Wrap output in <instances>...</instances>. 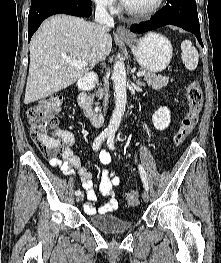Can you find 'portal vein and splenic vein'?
<instances>
[{
  "instance_id": "obj_1",
  "label": "portal vein and splenic vein",
  "mask_w": 221,
  "mask_h": 263,
  "mask_svg": "<svg viewBox=\"0 0 221 263\" xmlns=\"http://www.w3.org/2000/svg\"><path fill=\"white\" fill-rule=\"evenodd\" d=\"M66 62L69 63V64H71V65H73V66H77V67H84V66L87 65L86 62L80 61V60L68 59ZM143 75H145V72H144V71H139V72L137 73V76H138V77H141V76H143Z\"/></svg>"
}]
</instances>
